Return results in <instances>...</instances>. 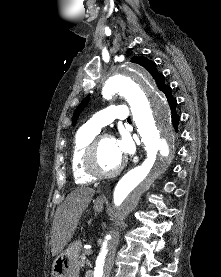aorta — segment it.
Listing matches in <instances>:
<instances>
[{"mask_svg": "<svg viewBox=\"0 0 221 277\" xmlns=\"http://www.w3.org/2000/svg\"><path fill=\"white\" fill-rule=\"evenodd\" d=\"M102 93L106 99H111L115 93L125 97L147 154L114 189L113 202L118 209V218L125 219L136 208L141 195L168 167L174 154L175 137L169 106L144 68L135 64L122 67L106 80ZM118 243L119 236L114 227L103 238L93 277H107Z\"/></svg>", "mask_w": 221, "mask_h": 277, "instance_id": "1", "label": "aorta"}]
</instances>
